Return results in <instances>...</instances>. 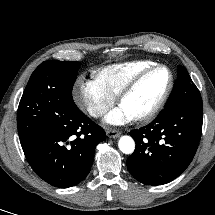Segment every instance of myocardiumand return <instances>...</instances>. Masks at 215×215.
<instances>
[{"instance_id": "myocardium-1", "label": "myocardium", "mask_w": 215, "mask_h": 215, "mask_svg": "<svg viewBox=\"0 0 215 215\" xmlns=\"http://www.w3.org/2000/svg\"><path fill=\"white\" fill-rule=\"evenodd\" d=\"M157 69H164L168 72L169 79H168L167 86L164 89L160 98L157 100V102L154 104V106L149 111H147L146 113H144L142 115L132 117L135 122H138V123L149 122L152 119H154L158 115V113L162 110V108L166 104V102L172 92L173 86H174L173 72L171 71V69L168 66H166L164 64L155 63V64L145 68L144 70L140 71L133 78H131L118 94V102L121 104L123 102V100L134 91V89L140 84V82L145 77H147L150 73H152L153 71H155Z\"/></svg>"}]
</instances>
